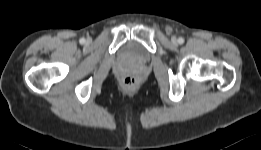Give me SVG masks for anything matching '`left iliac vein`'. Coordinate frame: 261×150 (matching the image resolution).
<instances>
[{
  "label": "left iliac vein",
  "mask_w": 261,
  "mask_h": 150,
  "mask_svg": "<svg viewBox=\"0 0 261 150\" xmlns=\"http://www.w3.org/2000/svg\"><path fill=\"white\" fill-rule=\"evenodd\" d=\"M171 41H172L173 44H176L177 43V38L176 37H172Z\"/></svg>",
  "instance_id": "1"
}]
</instances>
